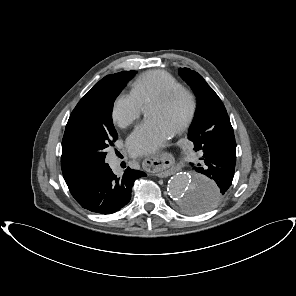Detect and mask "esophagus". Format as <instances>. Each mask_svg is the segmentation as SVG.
<instances>
[{"label": "esophagus", "instance_id": "esophagus-1", "mask_svg": "<svg viewBox=\"0 0 296 296\" xmlns=\"http://www.w3.org/2000/svg\"><path fill=\"white\" fill-rule=\"evenodd\" d=\"M173 152L176 155V158L173 161L168 162H158L155 159V156L158 153H170ZM183 154L182 151L175 146L168 147L165 151H157L151 154L145 162L146 168L148 171L155 176L166 175L170 170L172 165L178 164L182 160Z\"/></svg>", "mask_w": 296, "mask_h": 296}]
</instances>
